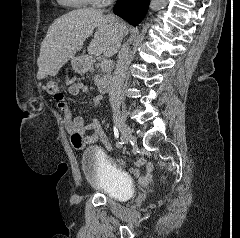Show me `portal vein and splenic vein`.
<instances>
[{
    "label": "portal vein and splenic vein",
    "instance_id": "1",
    "mask_svg": "<svg viewBox=\"0 0 240 238\" xmlns=\"http://www.w3.org/2000/svg\"><path fill=\"white\" fill-rule=\"evenodd\" d=\"M89 53H91V54H97L96 51H95V49L89 50ZM100 65H101V67H102L104 70H106V69H109V68H110L111 62L108 61V60H103V61L100 63Z\"/></svg>",
    "mask_w": 240,
    "mask_h": 238
}]
</instances>
